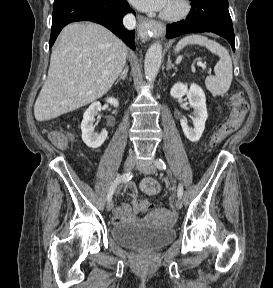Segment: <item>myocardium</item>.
Returning <instances> with one entry per match:
<instances>
[{
  "label": "myocardium",
  "instance_id": "myocardium-1",
  "mask_svg": "<svg viewBox=\"0 0 273 288\" xmlns=\"http://www.w3.org/2000/svg\"><path fill=\"white\" fill-rule=\"evenodd\" d=\"M180 8L176 12L163 11L161 18L166 21L176 22L187 17L191 11L190 0H178Z\"/></svg>",
  "mask_w": 273,
  "mask_h": 288
}]
</instances>
